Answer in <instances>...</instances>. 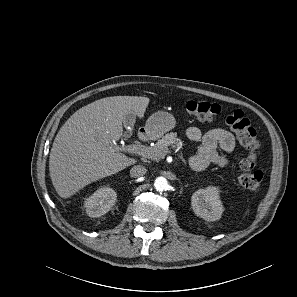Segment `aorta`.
Segmentation results:
<instances>
[{
	"label": "aorta",
	"mask_w": 297,
	"mask_h": 297,
	"mask_svg": "<svg viewBox=\"0 0 297 297\" xmlns=\"http://www.w3.org/2000/svg\"><path fill=\"white\" fill-rule=\"evenodd\" d=\"M154 187L157 191H164L168 188V181L164 177H157L154 182Z\"/></svg>",
	"instance_id": "1"
}]
</instances>
